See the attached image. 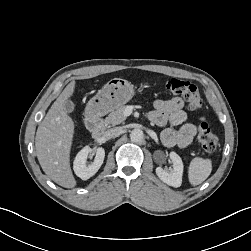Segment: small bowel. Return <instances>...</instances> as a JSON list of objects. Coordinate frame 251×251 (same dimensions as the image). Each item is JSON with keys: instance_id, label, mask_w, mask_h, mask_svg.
Segmentation results:
<instances>
[{"instance_id": "c3829d8e", "label": "small bowel", "mask_w": 251, "mask_h": 251, "mask_svg": "<svg viewBox=\"0 0 251 251\" xmlns=\"http://www.w3.org/2000/svg\"><path fill=\"white\" fill-rule=\"evenodd\" d=\"M183 108L184 101L179 97L157 99L154 102V110L148 115L149 120L158 126H171L161 134L162 143L166 147L186 148L194 139L196 127L187 121Z\"/></svg>"}]
</instances>
